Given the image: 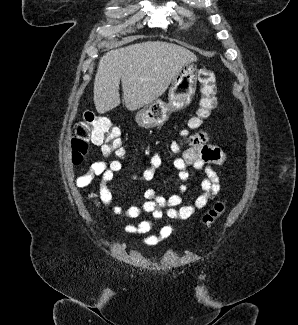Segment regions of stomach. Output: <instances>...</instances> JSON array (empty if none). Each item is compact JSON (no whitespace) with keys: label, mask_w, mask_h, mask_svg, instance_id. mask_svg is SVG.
<instances>
[{"label":"stomach","mask_w":298,"mask_h":325,"mask_svg":"<svg viewBox=\"0 0 298 325\" xmlns=\"http://www.w3.org/2000/svg\"><path fill=\"white\" fill-rule=\"evenodd\" d=\"M197 64L186 62L171 82L167 94V102L154 100L141 110H138L135 118L139 126L154 128L161 126L168 120L171 112L183 110L191 104L197 90Z\"/></svg>","instance_id":"stomach-1"}]
</instances>
